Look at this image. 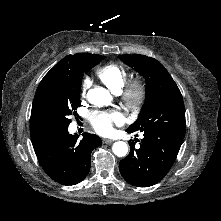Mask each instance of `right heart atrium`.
Returning a JSON list of instances; mask_svg holds the SVG:
<instances>
[{"label":"right heart atrium","instance_id":"obj_1","mask_svg":"<svg viewBox=\"0 0 221 221\" xmlns=\"http://www.w3.org/2000/svg\"><path fill=\"white\" fill-rule=\"evenodd\" d=\"M90 86V80L85 78L82 82V94L85 95Z\"/></svg>","mask_w":221,"mask_h":221}]
</instances>
